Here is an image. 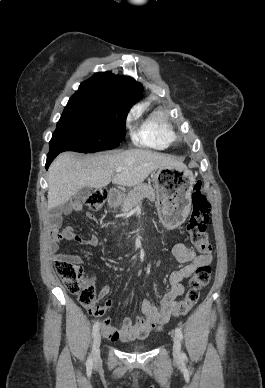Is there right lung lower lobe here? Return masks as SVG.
Returning <instances> with one entry per match:
<instances>
[{"label": "right lung lower lobe", "mask_w": 265, "mask_h": 388, "mask_svg": "<svg viewBox=\"0 0 265 388\" xmlns=\"http://www.w3.org/2000/svg\"><path fill=\"white\" fill-rule=\"evenodd\" d=\"M59 153H49L48 156H47V161H46V169H48L50 163L52 162V160L58 155Z\"/></svg>", "instance_id": "98d812e1"}]
</instances>
